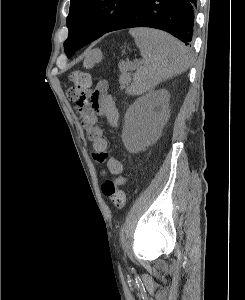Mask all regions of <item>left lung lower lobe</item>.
Returning <instances> with one entry per match:
<instances>
[{"label": "left lung lower lobe", "mask_w": 245, "mask_h": 300, "mask_svg": "<svg viewBox=\"0 0 245 300\" xmlns=\"http://www.w3.org/2000/svg\"><path fill=\"white\" fill-rule=\"evenodd\" d=\"M196 4L197 0H135L106 33L125 28L150 27L166 31L190 45ZM99 37H92L83 46Z\"/></svg>", "instance_id": "0a47b994"}]
</instances>
